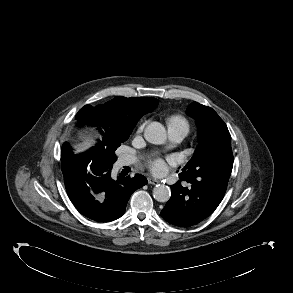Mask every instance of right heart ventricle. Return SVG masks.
Segmentation results:
<instances>
[{
  "mask_svg": "<svg viewBox=\"0 0 293 293\" xmlns=\"http://www.w3.org/2000/svg\"><path fill=\"white\" fill-rule=\"evenodd\" d=\"M168 127H179L184 128L189 131V122L188 120L179 114L171 115L167 118Z\"/></svg>",
  "mask_w": 293,
  "mask_h": 293,
  "instance_id": "e07e8e85",
  "label": "right heart ventricle"
}]
</instances>
